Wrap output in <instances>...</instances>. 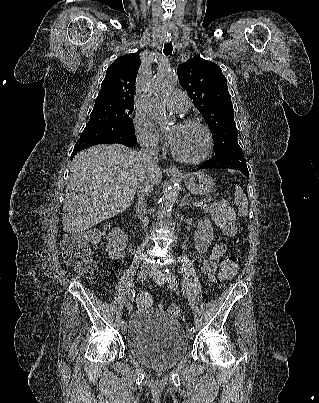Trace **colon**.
Instances as JSON below:
<instances>
[{
  "mask_svg": "<svg viewBox=\"0 0 319 403\" xmlns=\"http://www.w3.org/2000/svg\"><path fill=\"white\" fill-rule=\"evenodd\" d=\"M213 216L224 234L236 242L238 230L234 222V213L230 206L224 201H219L213 207ZM100 237L101 233L95 230H85L66 235L61 242L65 264L75 268L86 278H95L98 268L91 257L90 244L97 243ZM239 262V256L231 255L222 263L220 272L224 279L235 275ZM136 302L141 308H149L152 305V296L148 292L142 291L137 295ZM167 311L178 319L183 318L181 309L176 305H169Z\"/></svg>",
  "mask_w": 319,
  "mask_h": 403,
  "instance_id": "colon-1",
  "label": "colon"
}]
</instances>
